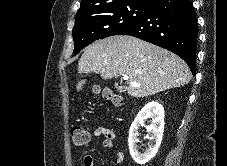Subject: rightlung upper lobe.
I'll use <instances>...</instances> for the list:
<instances>
[{
	"label": "right lung upper lobe",
	"mask_w": 227,
	"mask_h": 166,
	"mask_svg": "<svg viewBox=\"0 0 227 166\" xmlns=\"http://www.w3.org/2000/svg\"><path fill=\"white\" fill-rule=\"evenodd\" d=\"M156 0H81V5L77 14L95 11L108 6L126 4V3H139L144 5H152ZM76 14V15H77Z\"/></svg>",
	"instance_id": "obj_1"
}]
</instances>
